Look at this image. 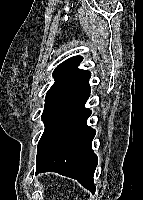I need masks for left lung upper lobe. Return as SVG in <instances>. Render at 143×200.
I'll use <instances>...</instances> for the list:
<instances>
[{
    "label": "left lung upper lobe",
    "instance_id": "5c2ea615",
    "mask_svg": "<svg viewBox=\"0 0 143 200\" xmlns=\"http://www.w3.org/2000/svg\"><path fill=\"white\" fill-rule=\"evenodd\" d=\"M82 57L75 56L61 63L53 72L55 83L49 89L46 95V103L56 96L65 87L70 85L78 74L82 71L77 66L81 63Z\"/></svg>",
    "mask_w": 143,
    "mask_h": 200
}]
</instances>
